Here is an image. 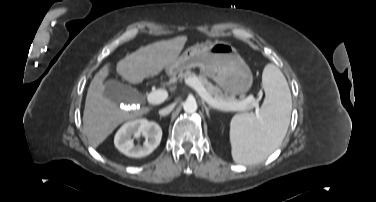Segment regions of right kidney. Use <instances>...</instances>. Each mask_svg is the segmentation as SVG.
Instances as JSON below:
<instances>
[{"label": "right kidney", "instance_id": "obj_1", "mask_svg": "<svg viewBox=\"0 0 376 202\" xmlns=\"http://www.w3.org/2000/svg\"><path fill=\"white\" fill-rule=\"evenodd\" d=\"M142 134L146 137L143 146L134 145L131 138ZM162 138V129L156 122L140 118L125 123L116 133L114 138L115 147L123 154L140 158L149 155L158 147Z\"/></svg>", "mask_w": 376, "mask_h": 202}]
</instances>
